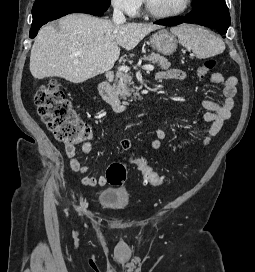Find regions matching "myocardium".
<instances>
[{
    "label": "myocardium",
    "instance_id": "f54148a6",
    "mask_svg": "<svg viewBox=\"0 0 255 272\" xmlns=\"http://www.w3.org/2000/svg\"><path fill=\"white\" fill-rule=\"evenodd\" d=\"M143 1H144L146 14L149 15L150 17L157 18V19H167V18L177 17V16L185 13L192 4V0H186L184 6L176 11L157 12L151 8L148 0H143Z\"/></svg>",
    "mask_w": 255,
    "mask_h": 272
}]
</instances>
